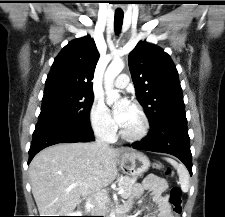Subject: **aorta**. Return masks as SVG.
Returning <instances> with one entry per match:
<instances>
[{
	"label": "aorta",
	"instance_id": "1",
	"mask_svg": "<svg viewBox=\"0 0 225 217\" xmlns=\"http://www.w3.org/2000/svg\"><path fill=\"white\" fill-rule=\"evenodd\" d=\"M123 69L124 62L122 60H113L104 74V89L106 93L107 104L109 105L116 103L120 98V94L118 90L114 88L113 82ZM111 217L115 216L111 215Z\"/></svg>",
	"mask_w": 225,
	"mask_h": 217
}]
</instances>
